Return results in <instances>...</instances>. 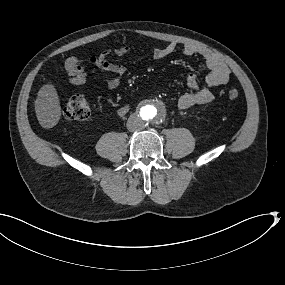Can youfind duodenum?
<instances>
[{"label": "duodenum", "mask_w": 285, "mask_h": 285, "mask_svg": "<svg viewBox=\"0 0 285 285\" xmlns=\"http://www.w3.org/2000/svg\"><path fill=\"white\" fill-rule=\"evenodd\" d=\"M126 111H127V108H121V109H120V113H121V114L126 113Z\"/></svg>", "instance_id": "duodenum-1"}]
</instances>
